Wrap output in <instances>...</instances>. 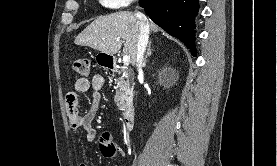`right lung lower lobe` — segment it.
<instances>
[{"instance_id": "98d812e1", "label": "right lung lower lobe", "mask_w": 277, "mask_h": 166, "mask_svg": "<svg viewBox=\"0 0 277 166\" xmlns=\"http://www.w3.org/2000/svg\"><path fill=\"white\" fill-rule=\"evenodd\" d=\"M139 4L151 20L181 40L196 56L194 18L199 9L198 0H139Z\"/></svg>"}]
</instances>
